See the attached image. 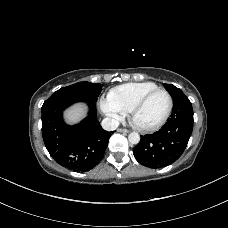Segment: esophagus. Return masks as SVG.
Segmentation results:
<instances>
[{
    "label": "esophagus",
    "instance_id": "1",
    "mask_svg": "<svg viewBox=\"0 0 228 228\" xmlns=\"http://www.w3.org/2000/svg\"><path fill=\"white\" fill-rule=\"evenodd\" d=\"M117 131L122 132V133H129V130L124 129V128H118Z\"/></svg>",
    "mask_w": 228,
    "mask_h": 228
}]
</instances>
